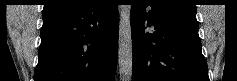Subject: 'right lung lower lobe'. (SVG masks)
<instances>
[{
  "label": "right lung lower lobe",
  "instance_id": "98d812e1",
  "mask_svg": "<svg viewBox=\"0 0 237 81\" xmlns=\"http://www.w3.org/2000/svg\"><path fill=\"white\" fill-rule=\"evenodd\" d=\"M42 18L34 81H114L119 25L114 0H85Z\"/></svg>",
  "mask_w": 237,
  "mask_h": 81
}]
</instances>
